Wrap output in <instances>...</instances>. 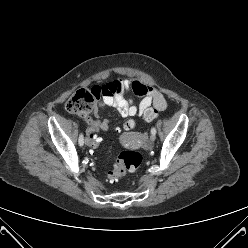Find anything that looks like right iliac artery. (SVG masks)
Listing matches in <instances>:
<instances>
[{
  "label": "right iliac artery",
  "mask_w": 248,
  "mask_h": 248,
  "mask_svg": "<svg viewBox=\"0 0 248 248\" xmlns=\"http://www.w3.org/2000/svg\"><path fill=\"white\" fill-rule=\"evenodd\" d=\"M78 142H79V145H80V146H82V145L84 144V136H83L82 133H81L80 136H79Z\"/></svg>",
  "instance_id": "right-iliac-artery-1"
}]
</instances>
